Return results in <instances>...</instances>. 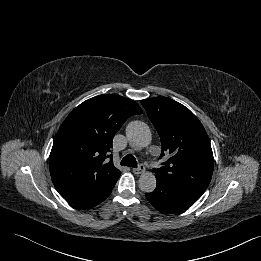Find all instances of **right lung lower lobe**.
Here are the masks:
<instances>
[{"label":"right lung lower lobe","instance_id":"right-lung-lower-lobe-1","mask_svg":"<svg viewBox=\"0 0 261 261\" xmlns=\"http://www.w3.org/2000/svg\"><path fill=\"white\" fill-rule=\"evenodd\" d=\"M115 183H113L107 189L102 191L100 194H98V195H96L92 198H89L87 200L76 202V203H73V204L78 206V207H83V208L94 207V206L98 205L99 203H101L102 201H104L110 195Z\"/></svg>","mask_w":261,"mask_h":261}]
</instances>
